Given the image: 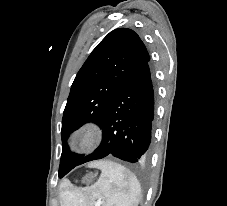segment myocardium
Wrapping results in <instances>:
<instances>
[{
  "mask_svg": "<svg viewBox=\"0 0 227 206\" xmlns=\"http://www.w3.org/2000/svg\"><path fill=\"white\" fill-rule=\"evenodd\" d=\"M103 137V126L96 121H88L73 132L70 145L77 153H88L101 143Z\"/></svg>",
  "mask_w": 227,
  "mask_h": 206,
  "instance_id": "obj_1",
  "label": "myocardium"
}]
</instances>
